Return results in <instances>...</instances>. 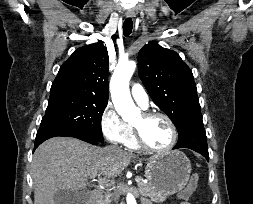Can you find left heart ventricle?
I'll return each instance as SVG.
<instances>
[{
    "mask_svg": "<svg viewBox=\"0 0 253 204\" xmlns=\"http://www.w3.org/2000/svg\"><path fill=\"white\" fill-rule=\"evenodd\" d=\"M133 125L141 130L145 141L153 148H164L171 141L170 126L163 118L145 119L141 114Z\"/></svg>",
    "mask_w": 253,
    "mask_h": 204,
    "instance_id": "1",
    "label": "left heart ventricle"
}]
</instances>
